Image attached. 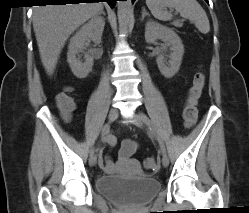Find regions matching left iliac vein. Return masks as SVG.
Segmentation results:
<instances>
[{
  "label": "left iliac vein",
  "mask_w": 249,
  "mask_h": 213,
  "mask_svg": "<svg viewBox=\"0 0 249 213\" xmlns=\"http://www.w3.org/2000/svg\"><path fill=\"white\" fill-rule=\"evenodd\" d=\"M130 120L131 122L137 126V127H140L142 128L143 127V119L141 118L140 115L138 114H133L131 117H130ZM162 164L164 167H167L169 165V158L167 156V154H163L162 156Z\"/></svg>",
  "instance_id": "obj_1"
}]
</instances>
